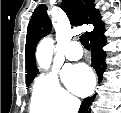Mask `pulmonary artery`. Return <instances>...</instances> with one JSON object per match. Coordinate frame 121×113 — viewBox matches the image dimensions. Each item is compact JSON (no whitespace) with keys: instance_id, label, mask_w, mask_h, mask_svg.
Here are the masks:
<instances>
[{"instance_id":"1","label":"pulmonary artery","mask_w":121,"mask_h":113,"mask_svg":"<svg viewBox=\"0 0 121 113\" xmlns=\"http://www.w3.org/2000/svg\"><path fill=\"white\" fill-rule=\"evenodd\" d=\"M64 56L70 61H77L83 56V51L77 41L70 42L64 50Z\"/></svg>"}]
</instances>
